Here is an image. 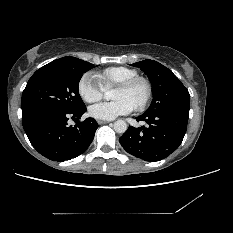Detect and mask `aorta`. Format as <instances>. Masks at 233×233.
Returning a JSON list of instances; mask_svg holds the SVG:
<instances>
[{
  "instance_id": "aorta-1",
  "label": "aorta",
  "mask_w": 233,
  "mask_h": 233,
  "mask_svg": "<svg viewBox=\"0 0 233 233\" xmlns=\"http://www.w3.org/2000/svg\"><path fill=\"white\" fill-rule=\"evenodd\" d=\"M105 98L107 100H112L114 99V91L111 90V91H108L105 93ZM114 130L117 132V133H124L126 132L127 130V124L125 121L123 120H117L115 123H114Z\"/></svg>"
}]
</instances>
